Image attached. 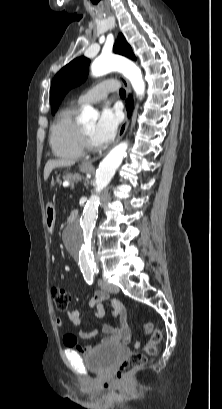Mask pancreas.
<instances>
[{
    "label": "pancreas",
    "instance_id": "obj_1",
    "mask_svg": "<svg viewBox=\"0 0 222 409\" xmlns=\"http://www.w3.org/2000/svg\"><path fill=\"white\" fill-rule=\"evenodd\" d=\"M82 180V176H80L79 174H74V175H67L66 176V181L71 183V186L74 185V183H76L77 181Z\"/></svg>",
    "mask_w": 222,
    "mask_h": 409
}]
</instances>
